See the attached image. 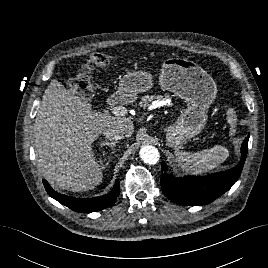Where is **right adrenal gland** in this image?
<instances>
[{"mask_svg": "<svg viewBox=\"0 0 268 268\" xmlns=\"http://www.w3.org/2000/svg\"><path fill=\"white\" fill-rule=\"evenodd\" d=\"M118 142L117 141H114V142H108V141H103L100 143V147H103V146H108L111 148V153L110 154H113L114 153V147L115 145L117 144ZM103 161V160H102ZM111 161V155L108 156V161L107 163L105 164V167H107L109 165V162Z\"/></svg>", "mask_w": 268, "mask_h": 268, "instance_id": "1", "label": "right adrenal gland"}]
</instances>
